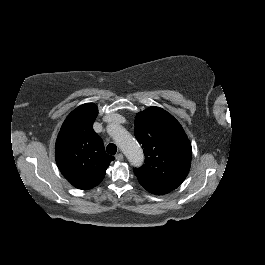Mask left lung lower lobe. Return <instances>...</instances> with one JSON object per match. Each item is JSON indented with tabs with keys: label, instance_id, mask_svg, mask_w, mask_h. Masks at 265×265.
Listing matches in <instances>:
<instances>
[{
	"label": "left lung lower lobe",
	"instance_id": "left-lung-lower-lobe-1",
	"mask_svg": "<svg viewBox=\"0 0 265 265\" xmlns=\"http://www.w3.org/2000/svg\"><path fill=\"white\" fill-rule=\"evenodd\" d=\"M145 189L148 190L149 192H151L153 194H157V195L168 193V192H165V191H162V190H158V189H154V188H145Z\"/></svg>",
	"mask_w": 265,
	"mask_h": 265
}]
</instances>
